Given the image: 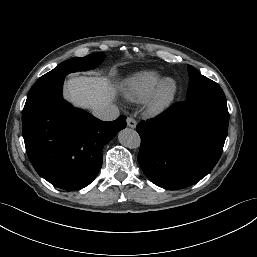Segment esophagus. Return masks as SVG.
I'll return each instance as SVG.
<instances>
[{
	"instance_id": "esophagus-1",
	"label": "esophagus",
	"mask_w": 257,
	"mask_h": 257,
	"mask_svg": "<svg viewBox=\"0 0 257 257\" xmlns=\"http://www.w3.org/2000/svg\"><path fill=\"white\" fill-rule=\"evenodd\" d=\"M137 125L136 120L133 117H128L127 118V126L130 128H135Z\"/></svg>"
}]
</instances>
